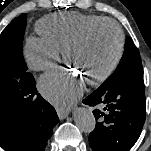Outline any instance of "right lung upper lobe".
Wrapping results in <instances>:
<instances>
[{
    "instance_id": "right-lung-upper-lobe-1",
    "label": "right lung upper lobe",
    "mask_w": 151,
    "mask_h": 151,
    "mask_svg": "<svg viewBox=\"0 0 151 151\" xmlns=\"http://www.w3.org/2000/svg\"><path fill=\"white\" fill-rule=\"evenodd\" d=\"M15 112L11 106L0 107V143L9 146L14 130Z\"/></svg>"
}]
</instances>
